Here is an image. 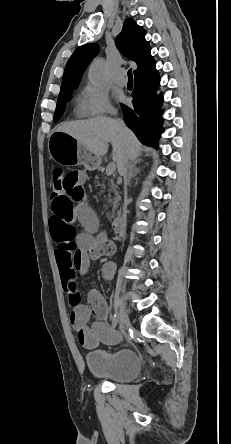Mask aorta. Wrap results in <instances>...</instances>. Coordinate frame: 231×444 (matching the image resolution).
Returning <instances> with one entry per match:
<instances>
[{"label": "aorta", "mask_w": 231, "mask_h": 444, "mask_svg": "<svg viewBox=\"0 0 231 444\" xmlns=\"http://www.w3.org/2000/svg\"><path fill=\"white\" fill-rule=\"evenodd\" d=\"M104 71L105 61L103 59L96 60L89 70V82L94 86L100 85L103 81Z\"/></svg>", "instance_id": "1"}]
</instances>
